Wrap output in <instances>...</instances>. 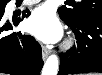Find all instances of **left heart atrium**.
Masks as SVG:
<instances>
[{"label":"left heart atrium","mask_w":102,"mask_h":75,"mask_svg":"<svg viewBox=\"0 0 102 75\" xmlns=\"http://www.w3.org/2000/svg\"><path fill=\"white\" fill-rule=\"evenodd\" d=\"M27 29L44 43L58 41L63 33L62 25L47 5L36 8L27 20Z\"/></svg>","instance_id":"obj_1"}]
</instances>
